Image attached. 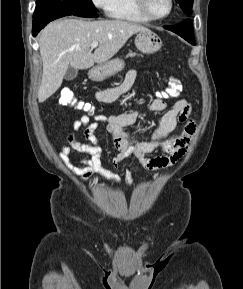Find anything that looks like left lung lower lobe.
Listing matches in <instances>:
<instances>
[{"label":"left lung lower lobe","mask_w":243,"mask_h":289,"mask_svg":"<svg viewBox=\"0 0 243 289\" xmlns=\"http://www.w3.org/2000/svg\"><path fill=\"white\" fill-rule=\"evenodd\" d=\"M165 29H168L170 31L175 32L182 38H184L186 41L189 43L195 45L196 42L194 40V35H193V28H192V23L191 21H184L182 23H179L177 25L173 26H165Z\"/></svg>","instance_id":"obj_1"}]
</instances>
